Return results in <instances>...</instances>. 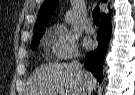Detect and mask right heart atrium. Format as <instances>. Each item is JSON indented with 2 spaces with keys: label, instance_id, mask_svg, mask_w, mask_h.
Wrapping results in <instances>:
<instances>
[{
  "label": "right heart atrium",
  "instance_id": "d8ad5b80",
  "mask_svg": "<svg viewBox=\"0 0 135 95\" xmlns=\"http://www.w3.org/2000/svg\"><path fill=\"white\" fill-rule=\"evenodd\" d=\"M51 55L56 60H66L79 55L77 38L69 29L56 24L50 28Z\"/></svg>",
  "mask_w": 135,
  "mask_h": 95
}]
</instances>
